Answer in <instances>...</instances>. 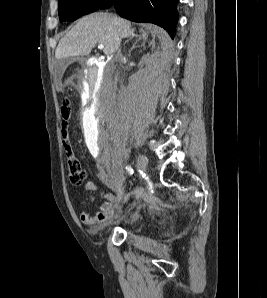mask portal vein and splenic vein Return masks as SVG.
<instances>
[{
  "mask_svg": "<svg viewBox=\"0 0 267 298\" xmlns=\"http://www.w3.org/2000/svg\"><path fill=\"white\" fill-rule=\"evenodd\" d=\"M98 49H101V50L104 49V45L99 44V45H98Z\"/></svg>",
  "mask_w": 267,
  "mask_h": 298,
  "instance_id": "obj_1",
  "label": "portal vein and splenic vein"
}]
</instances>
